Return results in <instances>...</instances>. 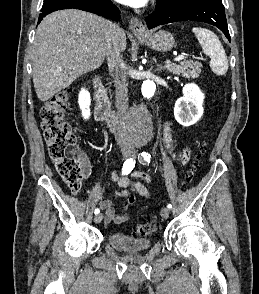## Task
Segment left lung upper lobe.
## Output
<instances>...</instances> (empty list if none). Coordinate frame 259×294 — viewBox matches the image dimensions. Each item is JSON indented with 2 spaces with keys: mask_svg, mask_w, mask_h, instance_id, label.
Instances as JSON below:
<instances>
[{
  "mask_svg": "<svg viewBox=\"0 0 259 294\" xmlns=\"http://www.w3.org/2000/svg\"><path fill=\"white\" fill-rule=\"evenodd\" d=\"M159 2L160 9H167L173 6L185 3L189 0H157Z\"/></svg>",
  "mask_w": 259,
  "mask_h": 294,
  "instance_id": "obj_1",
  "label": "left lung upper lobe"
}]
</instances>
